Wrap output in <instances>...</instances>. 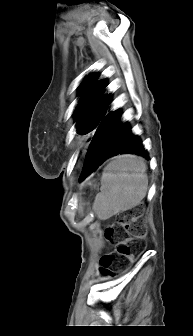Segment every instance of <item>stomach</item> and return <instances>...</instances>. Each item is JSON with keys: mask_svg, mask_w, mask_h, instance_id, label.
<instances>
[{"mask_svg": "<svg viewBox=\"0 0 193 336\" xmlns=\"http://www.w3.org/2000/svg\"><path fill=\"white\" fill-rule=\"evenodd\" d=\"M90 185H91L92 187H95V185H94L93 183H90Z\"/></svg>", "mask_w": 193, "mask_h": 336, "instance_id": "1", "label": "stomach"}]
</instances>
